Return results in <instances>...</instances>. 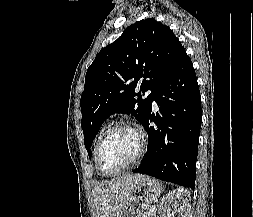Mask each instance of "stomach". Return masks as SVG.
<instances>
[{
  "mask_svg": "<svg viewBox=\"0 0 253 217\" xmlns=\"http://www.w3.org/2000/svg\"><path fill=\"white\" fill-rule=\"evenodd\" d=\"M162 189V184L158 180L143 176L135 183L130 200L118 217L139 216L160 196Z\"/></svg>",
  "mask_w": 253,
  "mask_h": 217,
  "instance_id": "stomach-1",
  "label": "stomach"
}]
</instances>
